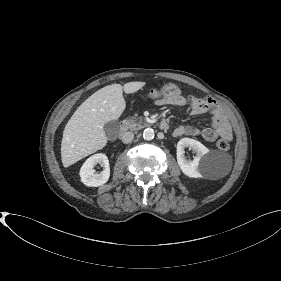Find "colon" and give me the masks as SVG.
<instances>
[{"mask_svg": "<svg viewBox=\"0 0 281 281\" xmlns=\"http://www.w3.org/2000/svg\"><path fill=\"white\" fill-rule=\"evenodd\" d=\"M178 93V87L175 84H163L149 88L146 95L149 99L158 100L162 97L172 96ZM218 149L225 151L229 149V142L227 139H219L216 143Z\"/></svg>", "mask_w": 281, "mask_h": 281, "instance_id": "obj_1", "label": "colon"}]
</instances>
